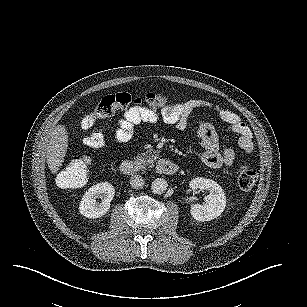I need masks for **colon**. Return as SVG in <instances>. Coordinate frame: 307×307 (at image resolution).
Segmentation results:
<instances>
[{
    "instance_id": "obj_1",
    "label": "colon",
    "mask_w": 307,
    "mask_h": 307,
    "mask_svg": "<svg viewBox=\"0 0 307 307\" xmlns=\"http://www.w3.org/2000/svg\"><path fill=\"white\" fill-rule=\"evenodd\" d=\"M168 97L163 94H148L144 98H134L128 93H117L102 98L96 107L82 119L85 128H91L100 118H106L118 111L132 107L156 109L166 106ZM83 142L90 148L99 149L105 146V137L99 131L84 136ZM91 160L88 157L72 159L58 174L56 181L61 188H75L84 185L90 175ZM258 179V173L250 164L244 163L238 169L237 180L242 190L252 189Z\"/></svg>"
}]
</instances>
